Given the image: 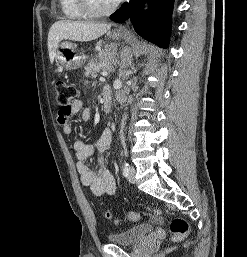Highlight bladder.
<instances>
[{
  "label": "bladder",
  "instance_id": "31cf9c89",
  "mask_svg": "<svg viewBox=\"0 0 247 257\" xmlns=\"http://www.w3.org/2000/svg\"><path fill=\"white\" fill-rule=\"evenodd\" d=\"M153 230L154 227L151 224L144 223L121 232L111 233L108 235V241L117 245H136L149 236Z\"/></svg>",
  "mask_w": 247,
  "mask_h": 257
}]
</instances>
